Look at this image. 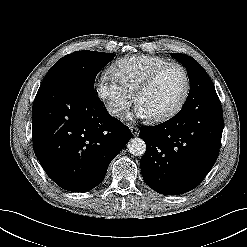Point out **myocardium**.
Returning a JSON list of instances; mask_svg holds the SVG:
<instances>
[{"label":"myocardium","instance_id":"f54148a6","mask_svg":"<svg viewBox=\"0 0 247 247\" xmlns=\"http://www.w3.org/2000/svg\"><path fill=\"white\" fill-rule=\"evenodd\" d=\"M173 67H177L179 68L183 75H184V79H185V86L183 89V92L179 98V100L177 101V103L168 111L159 114V115H155V116H150L149 118L155 122H162V121H166L168 119H170L171 117H173L174 115H176L181 108L183 107L188 95H189V91H190V77L189 74L187 72V69L179 64V63H168L165 64L159 68H157L156 70H154L152 73H150L137 87L133 98H134V102L136 105H138L139 99L140 97L154 84V82L157 80V78L167 69L169 68H173Z\"/></svg>","mask_w":247,"mask_h":247}]
</instances>
